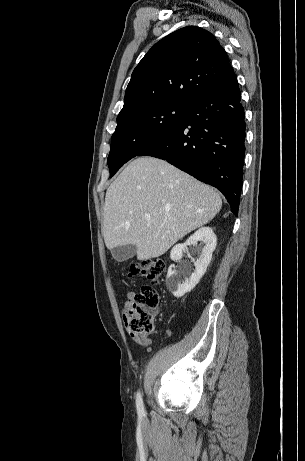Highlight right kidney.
<instances>
[{
	"mask_svg": "<svg viewBox=\"0 0 305 461\" xmlns=\"http://www.w3.org/2000/svg\"><path fill=\"white\" fill-rule=\"evenodd\" d=\"M198 241L203 242L204 246L200 257L194 262V272L189 274V271L186 270L189 277L182 280L181 277L177 275L174 265L170 266L168 269L166 285L169 291L177 298L190 292L199 283L211 261L212 253L217 244V238L212 228L202 227L191 235L184 244H178L171 250V260L179 261L187 246L195 245Z\"/></svg>",
	"mask_w": 305,
	"mask_h": 461,
	"instance_id": "right-kidney-1",
	"label": "right kidney"
}]
</instances>
